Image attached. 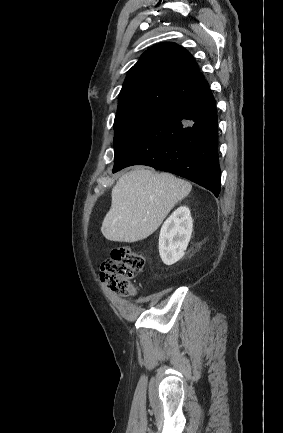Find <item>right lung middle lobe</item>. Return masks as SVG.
<instances>
[{
  "label": "right lung middle lobe",
  "instance_id": "right-lung-middle-lobe-1",
  "mask_svg": "<svg viewBox=\"0 0 283 433\" xmlns=\"http://www.w3.org/2000/svg\"><path fill=\"white\" fill-rule=\"evenodd\" d=\"M160 113L161 111L158 110L141 107L118 109L114 120L115 157Z\"/></svg>",
  "mask_w": 283,
  "mask_h": 433
}]
</instances>
